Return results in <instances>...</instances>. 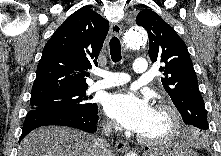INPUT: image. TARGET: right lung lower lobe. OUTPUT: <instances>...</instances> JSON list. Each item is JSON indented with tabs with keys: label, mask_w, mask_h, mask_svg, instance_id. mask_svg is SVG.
<instances>
[{
	"label": "right lung lower lobe",
	"mask_w": 221,
	"mask_h": 156,
	"mask_svg": "<svg viewBox=\"0 0 221 156\" xmlns=\"http://www.w3.org/2000/svg\"><path fill=\"white\" fill-rule=\"evenodd\" d=\"M98 110L92 113H69L30 110L25 118L21 141L35 128L47 125L68 126L94 133L97 130Z\"/></svg>",
	"instance_id": "1"
}]
</instances>
